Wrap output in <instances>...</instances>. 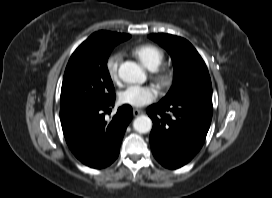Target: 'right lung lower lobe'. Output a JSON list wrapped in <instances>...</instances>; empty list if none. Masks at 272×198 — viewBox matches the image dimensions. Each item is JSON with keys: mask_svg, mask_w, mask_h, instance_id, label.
Wrapping results in <instances>:
<instances>
[{"mask_svg": "<svg viewBox=\"0 0 272 198\" xmlns=\"http://www.w3.org/2000/svg\"><path fill=\"white\" fill-rule=\"evenodd\" d=\"M115 98L103 104H86L60 109L66 142L72 153L85 165L103 168L118 157L122 138L132 119V108L123 105L111 121L105 114L114 106Z\"/></svg>", "mask_w": 272, "mask_h": 198, "instance_id": "right-lung-lower-lobe-1", "label": "right lung lower lobe"}]
</instances>
